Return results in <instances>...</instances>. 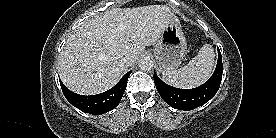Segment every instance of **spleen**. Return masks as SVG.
<instances>
[{
    "mask_svg": "<svg viewBox=\"0 0 276 138\" xmlns=\"http://www.w3.org/2000/svg\"><path fill=\"white\" fill-rule=\"evenodd\" d=\"M214 58L213 47L205 44L186 66L178 70L163 72V78L174 87L185 89L197 87L210 77L214 67Z\"/></svg>",
    "mask_w": 276,
    "mask_h": 138,
    "instance_id": "3e777b00",
    "label": "spleen"
}]
</instances>
